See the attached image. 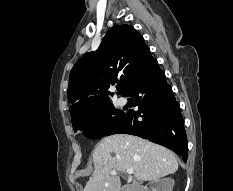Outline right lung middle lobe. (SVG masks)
Here are the masks:
<instances>
[{"label": "right lung middle lobe", "instance_id": "1", "mask_svg": "<svg viewBox=\"0 0 233 191\" xmlns=\"http://www.w3.org/2000/svg\"><path fill=\"white\" fill-rule=\"evenodd\" d=\"M123 111L115 109L110 102L99 105L72 118V126L76 132L83 131V135L97 139L105 136L123 117Z\"/></svg>", "mask_w": 233, "mask_h": 191}]
</instances>
